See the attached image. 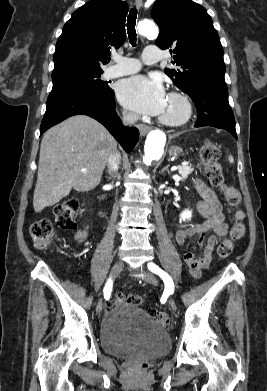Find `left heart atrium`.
<instances>
[{
	"instance_id": "obj_1",
	"label": "left heart atrium",
	"mask_w": 267,
	"mask_h": 391,
	"mask_svg": "<svg viewBox=\"0 0 267 391\" xmlns=\"http://www.w3.org/2000/svg\"><path fill=\"white\" fill-rule=\"evenodd\" d=\"M117 95L123 106L139 114L160 115L167 102L161 81L143 75L123 80Z\"/></svg>"
}]
</instances>
